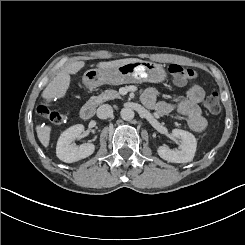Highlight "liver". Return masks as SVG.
<instances>
[{
  "label": "liver",
  "mask_w": 245,
  "mask_h": 245,
  "mask_svg": "<svg viewBox=\"0 0 245 245\" xmlns=\"http://www.w3.org/2000/svg\"><path fill=\"white\" fill-rule=\"evenodd\" d=\"M143 60L138 58H125L113 61H100L95 64L98 70L115 69L128 63L141 62ZM85 66V61H75L68 64L61 70L45 87L41 93V98L46 102H51L54 98L63 99L70 85V74L75 75L81 71ZM35 131L39 142L44 148L49 147L52 126L51 125H36Z\"/></svg>",
  "instance_id": "liver-1"
}]
</instances>
